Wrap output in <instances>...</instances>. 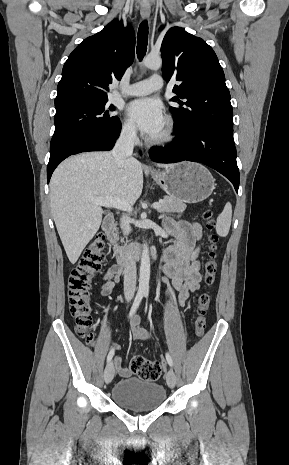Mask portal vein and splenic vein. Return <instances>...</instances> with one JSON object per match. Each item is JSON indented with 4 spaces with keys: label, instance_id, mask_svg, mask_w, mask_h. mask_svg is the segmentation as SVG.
<instances>
[{
    "label": "portal vein and splenic vein",
    "instance_id": "18ae733b",
    "mask_svg": "<svg viewBox=\"0 0 289 465\" xmlns=\"http://www.w3.org/2000/svg\"><path fill=\"white\" fill-rule=\"evenodd\" d=\"M93 201L101 206L104 207H111V208H117L123 211H132V207L125 201L120 200L118 198L114 197H95L93 198ZM153 208L158 209L161 206V202H155L153 203Z\"/></svg>",
    "mask_w": 289,
    "mask_h": 465
}]
</instances>
